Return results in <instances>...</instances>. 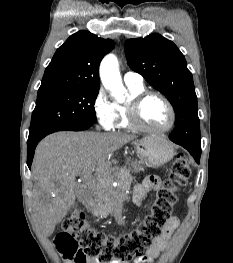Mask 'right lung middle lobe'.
<instances>
[{
  "mask_svg": "<svg viewBox=\"0 0 233 263\" xmlns=\"http://www.w3.org/2000/svg\"><path fill=\"white\" fill-rule=\"evenodd\" d=\"M98 88H74L37 96L28 140L63 126L93 124Z\"/></svg>",
  "mask_w": 233,
  "mask_h": 263,
  "instance_id": "dd1d6c3e",
  "label": "right lung middle lobe"
}]
</instances>
